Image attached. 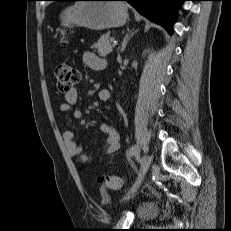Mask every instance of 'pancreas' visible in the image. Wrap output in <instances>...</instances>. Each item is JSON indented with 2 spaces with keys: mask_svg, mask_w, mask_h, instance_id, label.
<instances>
[{
  "mask_svg": "<svg viewBox=\"0 0 231 231\" xmlns=\"http://www.w3.org/2000/svg\"><path fill=\"white\" fill-rule=\"evenodd\" d=\"M109 33L103 34L97 43L93 45V48L97 50L98 54L102 57L107 56L113 50L114 45L109 40Z\"/></svg>",
  "mask_w": 231,
  "mask_h": 231,
  "instance_id": "pancreas-1",
  "label": "pancreas"
}]
</instances>
